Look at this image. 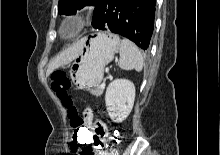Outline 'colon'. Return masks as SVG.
I'll return each instance as SVG.
<instances>
[{
	"instance_id": "obj_1",
	"label": "colon",
	"mask_w": 220,
	"mask_h": 155,
	"mask_svg": "<svg viewBox=\"0 0 220 155\" xmlns=\"http://www.w3.org/2000/svg\"><path fill=\"white\" fill-rule=\"evenodd\" d=\"M70 86L71 82L65 71L56 70L51 74V87L67 110L69 124L75 134L72 138L78 152H84V147L93 144V148L87 150L88 155H116L115 149L120 145L122 134L110 133L108 136L106 125L99 124L94 137L90 123H86L85 117L80 115L69 95Z\"/></svg>"
}]
</instances>
